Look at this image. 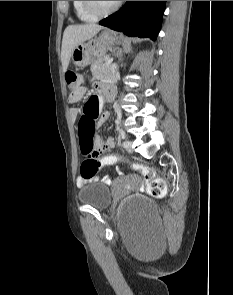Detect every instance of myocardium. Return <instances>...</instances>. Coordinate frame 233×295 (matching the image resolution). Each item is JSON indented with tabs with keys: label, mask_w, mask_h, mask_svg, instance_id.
Here are the masks:
<instances>
[{
	"label": "myocardium",
	"mask_w": 233,
	"mask_h": 295,
	"mask_svg": "<svg viewBox=\"0 0 233 295\" xmlns=\"http://www.w3.org/2000/svg\"><path fill=\"white\" fill-rule=\"evenodd\" d=\"M121 3H122V1H116V3L113 6H111L110 8L102 10L98 7L96 1H83V5H84L85 9L89 13H91L97 17L107 16V15L115 12L119 8Z\"/></svg>",
	"instance_id": "myocardium-1"
}]
</instances>
